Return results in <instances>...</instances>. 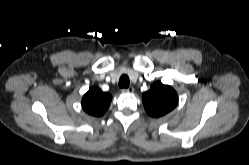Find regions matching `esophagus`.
I'll return each mask as SVG.
<instances>
[{
	"mask_svg": "<svg viewBox=\"0 0 249 165\" xmlns=\"http://www.w3.org/2000/svg\"><path fill=\"white\" fill-rule=\"evenodd\" d=\"M123 93H133L134 92V88L133 87H129V88H124L122 89Z\"/></svg>",
	"mask_w": 249,
	"mask_h": 165,
	"instance_id": "34e87169",
	"label": "esophagus"
}]
</instances>
